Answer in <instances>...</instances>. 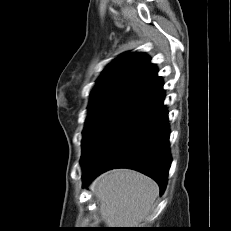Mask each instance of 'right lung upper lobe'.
Instances as JSON below:
<instances>
[{"label": "right lung upper lobe", "mask_w": 231, "mask_h": 231, "mask_svg": "<svg viewBox=\"0 0 231 231\" xmlns=\"http://www.w3.org/2000/svg\"><path fill=\"white\" fill-rule=\"evenodd\" d=\"M110 96H129L149 105L164 99L163 81L144 53H124L102 72L90 94V103Z\"/></svg>", "instance_id": "cb5924a9"}]
</instances>
